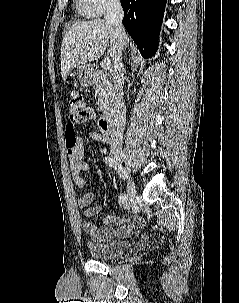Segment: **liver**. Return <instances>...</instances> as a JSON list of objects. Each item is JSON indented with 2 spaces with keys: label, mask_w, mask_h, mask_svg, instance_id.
<instances>
[{
  "label": "liver",
  "mask_w": 239,
  "mask_h": 303,
  "mask_svg": "<svg viewBox=\"0 0 239 303\" xmlns=\"http://www.w3.org/2000/svg\"><path fill=\"white\" fill-rule=\"evenodd\" d=\"M116 43L115 28L106 20L74 23L68 28L62 41L60 61L63 80H66L73 68L99 59L107 45L108 55L114 61ZM128 44L129 38L126 36L124 46Z\"/></svg>",
  "instance_id": "liver-1"
}]
</instances>
